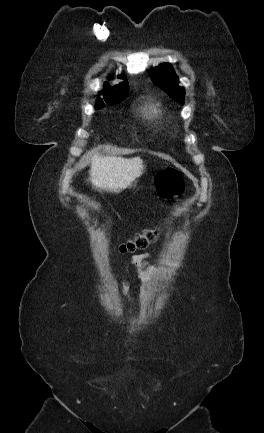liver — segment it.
Segmentation results:
<instances>
[{"label": "liver", "mask_w": 264, "mask_h": 433, "mask_svg": "<svg viewBox=\"0 0 264 433\" xmlns=\"http://www.w3.org/2000/svg\"><path fill=\"white\" fill-rule=\"evenodd\" d=\"M143 170L144 165L140 157L127 159L94 154L88 181L96 189L118 193L140 177Z\"/></svg>", "instance_id": "6515ba94"}]
</instances>
